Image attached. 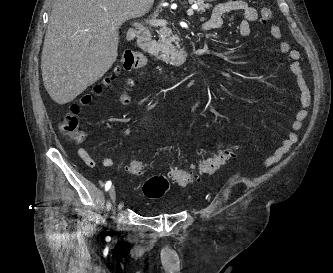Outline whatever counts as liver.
I'll return each instance as SVG.
<instances>
[{
  "instance_id": "liver-1",
  "label": "liver",
  "mask_w": 333,
  "mask_h": 273,
  "mask_svg": "<svg viewBox=\"0 0 333 273\" xmlns=\"http://www.w3.org/2000/svg\"><path fill=\"white\" fill-rule=\"evenodd\" d=\"M154 0H55L41 56L44 87L58 104L73 101L118 56L123 23L145 15Z\"/></svg>"
}]
</instances>
